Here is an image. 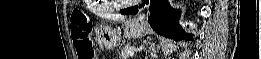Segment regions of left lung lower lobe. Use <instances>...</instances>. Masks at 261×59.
<instances>
[{"label": "left lung lower lobe", "instance_id": "0a47b994", "mask_svg": "<svg viewBox=\"0 0 261 59\" xmlns=\"http://www.w3.org/2000/svg\"><path fill=\"white\" fill-rule=\"evenodd\" d=\"M149 10L148 22L158 34L174 40H193V35L187 34L179 25L180 12L172 9L167 0H151ZM120 12L134 15L137 14L138 8L135 6L123 9Z\"/></svg>", "mask_w": 261, "mask_h": 59}]
</instances>
